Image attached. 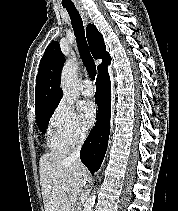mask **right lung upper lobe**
Listing matches in <instances>:
<instances>
[{"instance_id": "1", "label": "right lung upper lobe", "mask_w": 178, "mask_h": 211, "mask_svg": "<svg viewBox=\"0 0 178 211\" xmlns=\"http://www.w3.org/2000/svg\"><path fill=\"white\" fill-rule=\"evenodd\" d=\"M86 36L90 50L95 59H103L98 66L99 75L107 72V66L110 65L111 57L106 51L102 34L97 28L89 24L86 28ZM64 65V57L58 42H51L46 48L40 61L38 74L36 77L35 89V113L58 105L62 98V92L59 86L61 69Z\"/></svg>"}]
</instances>
